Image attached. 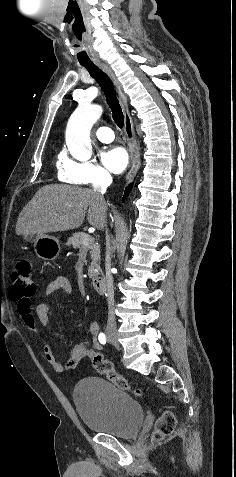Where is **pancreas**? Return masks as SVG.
I'll return each mask as SVG.
<instances>
[{
	"mask_svg": "<svg viewBox=\"0 0 236 477\" xmlns=\"http://www.w3.org/2000/svg\"><path fill=\"white\" fill-rule=\"evenodd\" d=\"M87 237H89V235L84 232L75 233L67 240L66 245H72L74 248H79L80 252L84 256L87 254L88 251H90L92 262L88 268V276L90 278H96L99 275V271H101V268L99 266L100 249L99 246L95 244L93 240L88 245H83V240Z\"/></svg>",
	"mask_w": 236,
	"mask_h": 477,
	"instance_id": "obj_1",
	"label": "pancreas"
}]
</instances>
